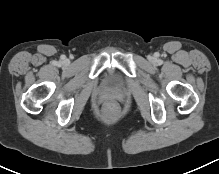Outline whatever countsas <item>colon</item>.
Returning <instances> with one entry per match:
<instances>
[{
	"mask_svg": "<svg viewBox=\"0 0 219 174\" xmlns=\"http://www.w3.org/2000/svg\"><path fill=\"white\" fill-rule=\"evenodd\" d=\"M102 111L106 119L113 120L118 116L120 112V107L118 103L114 101H109L104 104Z\"/></svg>",
	"mask_w": 219,
	"mask_h": 174,
	"instance_id": "5ec220e1",
	"label": "colon"
}]
</instances>
